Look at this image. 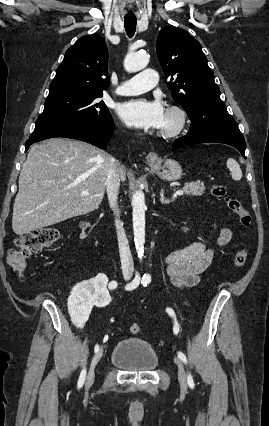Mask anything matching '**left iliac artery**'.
<instances>
[{
    "instance_id": "obj_1",
    "label": "left iliac artery",
    "mask_w": 269,
    "mask_h": 426,
    "mask_svg": "<svg viewBox=\"0 0 269 426\" xmlns=\"http://www.w3.org/2000/svg\"><path fill=\"white\" fill-rule=\"evenodd\" d=\"M150 281H151V276L149 275V274H144L143 275V277H142V281H141V283L144 285V286H147V284H149L150 283ZM166 312L172 317V318H174V321H175V323H174V328H173V332H174V334H178V332H179V324H178V322L176 321V315H175V312L173 311V309L172 308H166ZM178 357L185 363V364H187V358H186V356H185V354L184 353H182V352H178ZM187 382H188V385L190 386V388H194V381H193V377L191 376V374H188V377H187Z\"/></svg>"
}]
</instances>
